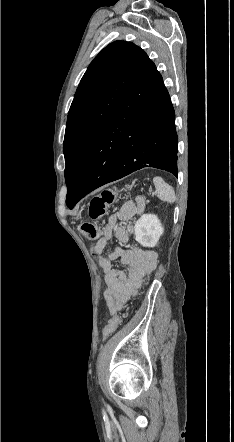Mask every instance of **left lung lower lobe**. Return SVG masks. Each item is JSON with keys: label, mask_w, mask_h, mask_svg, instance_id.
I'll return each mask as SVG.
<instances>
[{"label": "left lung lower lobe", "mask_w": 234, "mask_h": 442, "mask_svg": "<svg viewBox=\"0 0 234 442\" xmlns=\"http://www.w3.org/2000/svg\"><path fill=\"white\" fill-rule=\"evenodd\" d=\"M175 112L150 61L94 139L73 195L74 205L94 189L144 167L178 175Z\"/></svg>", "instance_id": "obj_1"}]
</instances>
